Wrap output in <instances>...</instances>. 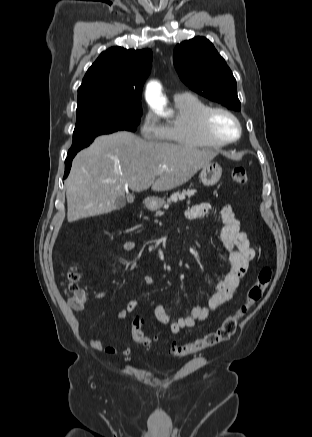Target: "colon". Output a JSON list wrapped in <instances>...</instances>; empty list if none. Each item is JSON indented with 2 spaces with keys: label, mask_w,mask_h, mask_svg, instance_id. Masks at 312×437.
Instances as JSON below:
<instances>
[{
  "label": "colon",
  "mask_w": 312,
  "mask_h": 437,
  "mask_svg": "<svg viewBox=\"0 0 312 437\" xmlns=\"http://www.w3.org/2000/svg\"><path fill=\"white\" fill-rule=\"evenodd\" d=\"M247 178V171L244 167H235L232 170L231 179L233 183L239 185L245 184ZM271 279L272 269L269 266H263L258 272L256 281L250 286L245 302L233 314L227 316L217 329L204 336L188 344L173 345L170 349V354L176 357H184L230 339L236 331L239 320L247 313L251 306L260 301ZM63 280L64 289L69 296L71 307L74 309L82 308L87 302V296L78 284L79 274L76 268L69 267L63 274ZM142 326V317L139 315L133 316L130 327L131 337L135 342L143 346H151L153 341L145 335Z\"/></svg>",
  "instance_id": "obj_1"
}]
</instances>
